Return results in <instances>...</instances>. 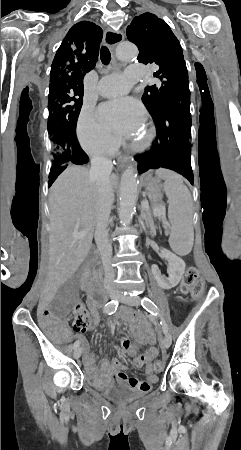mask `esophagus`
I'll list each match as a JSON object with an SVG mask.
<instances>
[{
	"instance_id": "esophagus-1",
	"label": "esophagus",
	"mask_w": 241,
	"mask_h": 450,
	"mask_svg": "<svg viewBox=\"0 0 241 450\" xmlns=\"http://www.w3.org/2000/svg\"><path fill=\"white\" fill-rule=\"evenodd\" d=\"M123 33L118 31H114L111 29H107L103 35L104 43L110 48V50L114 53L116 46L123 40ZM132 162V157L124 156L120 160H118V167H125L127 164Z\"/></svg>"
}]
</instances>
